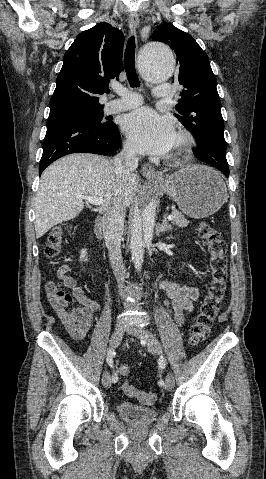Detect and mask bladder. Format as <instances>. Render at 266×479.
<instances>
[{
    "label": "bladder",
    "instance_id": "bladder-1",
    "mask_svg": "<svg viewBox=\"0 0 266 479\" xmlns=\"http://www.w3.org/2000/svg\"><path fill=\"white\" fill-rule=\"evenodd\" d=\"M116 411L120 418L130 424H151L159 416L154 407L139 406L130 401H120L116 404Z\"/></svg>",
    "mask_w": 266,
    "mask_h": 479
}]
</instances>
